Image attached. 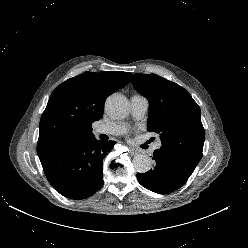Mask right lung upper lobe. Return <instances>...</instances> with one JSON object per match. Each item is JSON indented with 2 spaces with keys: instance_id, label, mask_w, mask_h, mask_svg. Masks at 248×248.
Segmentation results:
<instances>
[{
  "instance_id": "right-lung-upper-lobe-1",
  "label": "right lung upper lobe",
  "mask_w": 248,
  "mask_h": 248,
  "mask_svg": "<svg viewBox=\"0 0 248 248\" xmlns=\"http://www.w3.org/2000/svg\"><path fill=\"white\" fill-rule=\"evenodd\" d=\"M131 77L122 71L85 72L60 84L40 119L39 158L71 137L92 134V123L102 118L105 99Z\"/></svg>"
}]
</instances>
